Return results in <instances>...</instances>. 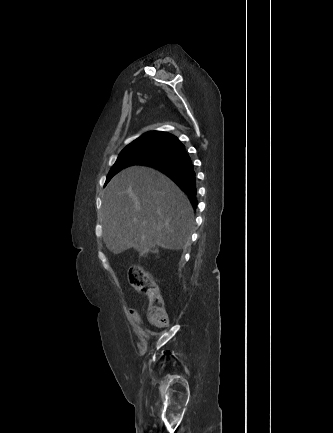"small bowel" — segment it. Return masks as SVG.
Masks as SVG:
<instances>
[{
    "label": "small bowel",
    "mask_w": 333,
    "mask_h": 433,
    "mask_svg": "<svg viewBox=\"0 0 333 433\" xmlns=\"http://www.w3.org/2000/svg\"><path fill=\"white\" fill-rule=\"evenodd\" d=\"M131 320L136 324L142 331L143 335H146V330L143 328V320L138 310L130 309L129 311Z\"/></svg>",
    "instance_id": "obj_1"
}]
</instances>
